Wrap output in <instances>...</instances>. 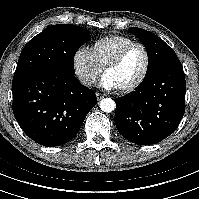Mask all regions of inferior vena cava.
Instances as JSON below:
<instances>
[{
	"instance_id": "602c4592",
	"label": "inferior vena cava",
	"mask_w": 199,
	"mask_h": 199,
	"mask_svg": "<svg viewBox=\"0 0 199 199\" xmlns=\"http://www.w3.org/2000/svg\"><path fill=\"white\" fill-rule=\"evenodd\" d=\"M79 80H80V82H81L83 85L88 86V87H91V86H93V84H94V80L91 79V78H89V77L80 76V77H79Z\"/></svg>"
}]
</instances>
